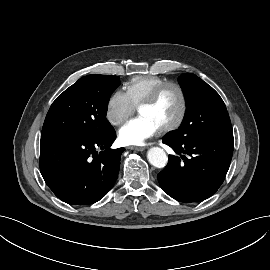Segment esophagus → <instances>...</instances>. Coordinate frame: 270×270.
<instances>
[{
  "label": "esophagus",
  "instance_id": "obj_1",
  "mask_svg": "<svg viewBox=\"0 0 270 270\" xmlns=\"http://www.w3.org/2000/svg\"><path fill=\"white\" fill-rule=\"evenodd\" d=\"M128 148L131 150H135V151H144L145 150L144 147H137V146H130Z\"/></svg>",
  "mask_w": 270,
  "mask_h": 270
}]
</instances>
